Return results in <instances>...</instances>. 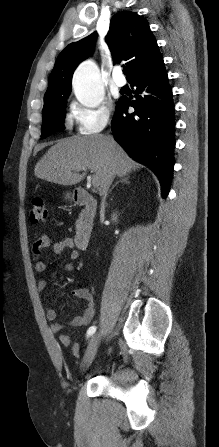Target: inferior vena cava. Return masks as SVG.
Returning a JSON list of instances; mask_svg holds the SVG:
<instances>
[{
  "label": "inferior vena cava",
  "mask_w": 219,
  "mask_h": 447,
  "mask_svg": "<svg viewBox=\"0 0 219 447\" xmlns=\"http://www.w3.org/2000/svg\"><path fill=\"white\" fill-rule=\"evenodd\" d=\"M114 176H115V175L113 174L112 176H110V177L108 178V182H107L108 185H107V187L105 188V190L103 191V201H104L105 198H106L107 190H108L109 185L111 184V182H112Z\"/></svg>",
  "instance_id": "inferior-vena-cava-1"
}]
</instances>
